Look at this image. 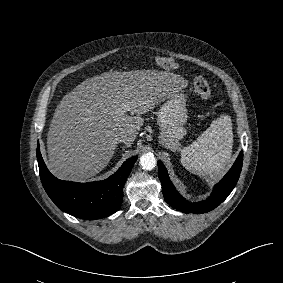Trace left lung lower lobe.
I'll list each match as a JSON object with an SVG mask.
<instances>
[{
    "instance_id": "1",
    "label": "left lung lower lobe",
    "mask_w": 283,
    "mask_h": 283,
    "mask_svg": "<svg viewBox=\"0 0 283 283\" xmlns=\"http://www.w3.org/2000/svg\"><path fill=\"white\" fill-rule=\"evenodd\" d=\"M243 152L241 151L229 172L215 185L209 198L198 203L186 201L171 183L164 164L158 161V176L162 184L165 201L176 210L184 213H206L220 205L234 189L241 173Z\"/></svg>"
}]
</instances>
